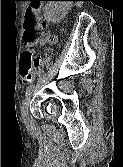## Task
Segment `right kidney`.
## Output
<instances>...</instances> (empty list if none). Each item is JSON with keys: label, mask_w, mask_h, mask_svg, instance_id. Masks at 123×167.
Returning <instances> with one entry per match:
<instances>
[{"label": "right kidney", "mask_w": 123, "mask_h": 167, "mask_svg": "<svg viewBox=\"0 0 123 167\" xmlns=\"http://www.w3.org/2000/svg\"><path fill=\"white\" fill-rule=\"evenodd\" d=\"M71 1H49L45 7V17L51 21H59L71 9Z\"/></svg>", "instance_id": "1"}]
</instances>
